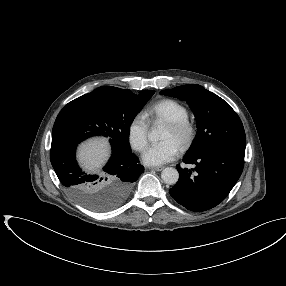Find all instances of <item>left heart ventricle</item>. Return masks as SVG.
<instances>
[{
    "label": "left heart ventricle",
    "instance_id": "b2bd125f",
    "mask_svg": "<svg viewBox=\"0 0 286 286\" xmlns=\"http://www.w3.org/2000/svg\"><path fill=\"white\" fill-rule=\"evenodd\" d=\"M161 139L162 140L171 139V140L175 141L178 145L180 142L179 135L174 130L169 128L168 126L165 127Z\"/></svg>",
    "mask_w": 286,
    "mask_h": 286
}]
</instances>
